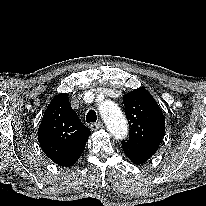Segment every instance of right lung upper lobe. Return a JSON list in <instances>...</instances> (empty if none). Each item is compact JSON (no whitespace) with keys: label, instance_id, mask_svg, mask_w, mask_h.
<instances>
[{"label":"right lung upper lobe","instance_id":"right-lung-upper-lobe-1","mask_svg":"<svg viewBox=\"0 0 206 206\" xmlns=\"http://www.w3.org/2000/svg\"><path fill=\"white\" fill-rule=\"evenodd\" d=\"M90 130L72 109L67 93L56 95L44 112L38 129L43 152L54 163L70 167L85 149Z\"/></svg>","mask_w":206,"mask_h":206}]
</instances>
